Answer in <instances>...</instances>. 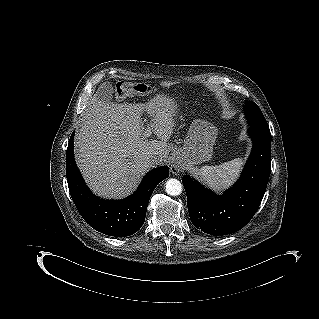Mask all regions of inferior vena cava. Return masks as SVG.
Listing matches in <instances>:
<instances>
[{
    "label": "inferior vena cava",
    "instance_id": "602c4592",
    "mask_svg": "<svg viewBox=\"0 0 319 319\" xmlns=\"http://www.w3.org/2000/svg\"><path fill=\"white\" fill-rule=\"evenodd\" d=\"M163 161L162 156L161 155H153L148 159V162L154 166V165H159L161 164Z\"/></svg>",
    "mask_w": 319,
    "mask_h": 319
}]
</instances>
